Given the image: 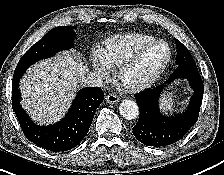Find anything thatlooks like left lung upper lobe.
Masks as SVG:
<instances>
[{
  "label": "left lung upper lobe",
  "mask_w": 224,
  "mask_h": 175,
  "mask_svg": "<svg viewBox=\"0 0 224 175\" xmlns=\"http://www.w3.org/2000/svg\"><path fill=\"white\" fill-rule=\"evenodd\" d=\"M176 46H177V58L176 63L177 65L181 64H195V61L188 51V49L177 39H175Z\"/></svg>",
  "instance_id": "left-lung-upper-lobe-1"
}]
</instances>
